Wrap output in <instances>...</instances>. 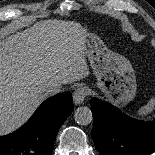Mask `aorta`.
Returning <instances> with one entry per match:
<instances>
[{"label":"aorta","instance_id":"aorta-1","mask_svg":"<svg viewBox=\"0 0 155 155\" xmlns=\"http://www.w3.org/2000/svg\"><path fill=\"white\" fill-rule=\"evenodd\" d=\"M74 120L79 125H88L93 121V116L90 108L86 106L78 107L74 113Z\"/></svg>","mask_w":155,"mask_h":155}]
</instances>
